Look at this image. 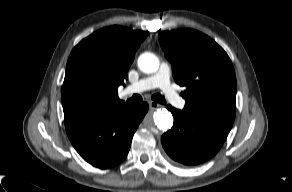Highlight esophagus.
<instances>
[{
    "instance_id": "1",
    "label": "esophagus",
    "mask_w": 292,
    "mask_h": 192,
    "mask_svg": "<svg viewBox=\"0 0 292 192\" xmlns=\"http://www.w3.org/2000/svg\"><path fill=\"white\" fill-rule=\"evenodd\" d=\"M149 105H150V109H152V110H155L161 106L160 104H158L157 102H154V101H150Z\"/></svg>"
}]
</instances>
